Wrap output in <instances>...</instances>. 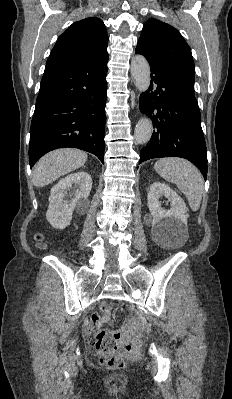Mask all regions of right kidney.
I'll return each instance as SVG.
<instances>
[{"instance_id": "obj_1", "label": "right kidney", "mask_w": 232, "mask_h": 399, "mask_svg": "<svg viewBox=\"0 0 232 399\" xmlns=\"http://www.w3.org/2000/svg\"><path fill=\"white\" fill-rule=\"evenodd\" d=\"M92 178L87 172L69 174L51 188L46 217L52 227L64 229L72 219L73 209L88 207Z\"/></svg>"}]
</instances>
